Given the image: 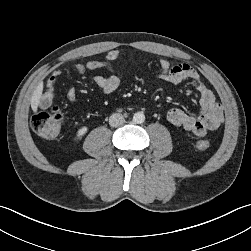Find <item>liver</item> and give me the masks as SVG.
Wrapping results in <instances>:
<instances>
[{
	"mask_svg": "<svg viewBox=\"0 0 251 251\" xmlns=\"http://www.w3.org/2000/svg\"><path fill=\"white\" fill-rule=\"evenodd\" d=\"M42 91H43V82H40L38 86L36 87L35 91L33 92L31 101H30L31 108L34 112H36L38 109L40 99L42 97Z\"/></svg>",
	"mask_w": 251,
	"mask_h": 251,
	"instance_id": "1",
	"label": "liver"
}]
</instances>
